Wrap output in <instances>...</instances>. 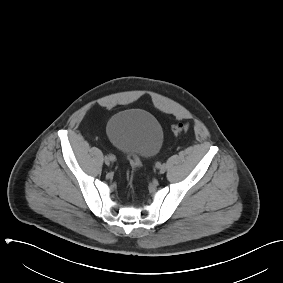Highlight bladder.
Instances as JSON below:
<instances>
[{
	"label": "bladder",
	"instance_id": "obj_1",
	"mask_svg": "<svg viewBox=\"0 0 283 283\" xmlns=\"http://www.w3.org/2000/svg\"><path fill=\"white\" fill-rule=\"evenodd\" d=\"M110 142L121 152L139 158L158 153L163 143L160 122L142 109H127L113 115L106 127Z\"/></svg>",
	"mask_w": 283,
	"mask_h": 283
}]
</instances>
